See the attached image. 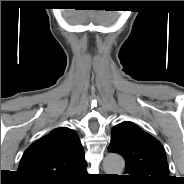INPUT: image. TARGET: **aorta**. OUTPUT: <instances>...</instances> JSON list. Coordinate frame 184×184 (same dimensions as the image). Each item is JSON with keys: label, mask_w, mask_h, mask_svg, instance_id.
<instances>
[{"label": "aorta", "mask_w": 184, "mask_h": 184, "mask_svg": "<svg viewBox=\"0 0 184 184\" xmlns=\"http://www.w3.org/2000/svg\"><path fill=\"white\" fill-rule=\"evenodd\" d=\"M103 167L106 174L120 175L124 170L125 162L120 155L111 153L105 157Z\"/></svg>", "instance_id": "762f6f07"}]
</instances>
